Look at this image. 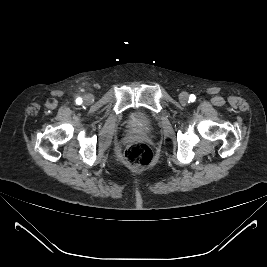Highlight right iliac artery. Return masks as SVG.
I'll use <instances>...</instances> for the list:
<instances>
[{"label":"right iliac artery","instance_id":"obj_1","mask_svg":"<svg viewBox=\"0 0 267 267\" xmlns=\"http://www.w3.org/2000/svg\"><path fill=\"white\" fill-rule=\"evenodd\" d=\"M76 103H77V104H81V103H82V99H81V98H77V99H76Z\"/></svg>","mask_w":267,"mask_h":267}]
</instances>
